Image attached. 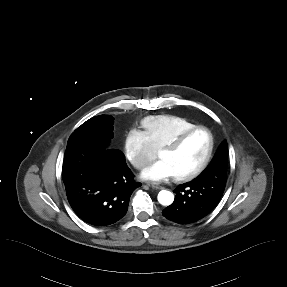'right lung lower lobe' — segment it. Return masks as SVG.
Segmentation results:
<instances>
[{
	"label": "right lung lower lobe",
	"mask_w": 287,
	"mask_h": 287,
	"mask_svg": "<svg viewBox=\"0 0 287 287\" xmlns=\"http://www.w3.org/2000/svg\"><path fill=\"white\" fill-rule=\"evenodd\" d=\"M62 179L76 215L92 226H107L127 212L133 191L141 186L124 154L104 141L83 139L67 144Z\"/></svg>",
	"instance_id": "1"
}]
</instances>
